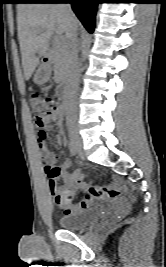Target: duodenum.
<instances>
[{"instance_id": "410a0bca", "label": "duodenum", "mask_w": 166, "mask_h": 267, "mask_svg": "<svg viewBox=\"0 0 166 267\" xmlns=\"http://www.w3.org/2000/svg\"><path fill=\"white\" fill-rule=\"evenodd\" d=\"M42 68H43V72L45 73H48L50 72V59L45 56L42 60ZM58 96L61 100V102L63 103L66 99H67V96H68V87L65 83H63L59 89H58Z\"/></svg>"}]
</instances>
